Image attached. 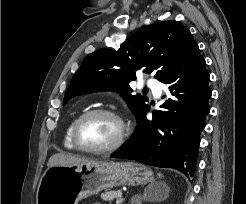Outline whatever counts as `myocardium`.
I'll return each mask as SVG.
<instances>
[{
  "instance_id": "f54148a6",
  "label": "myocardium",
  "mask_w": 246,
  "mask_h": 204,
  "mask_svg": "<svg viewBox=\"0 0 246 204\" xmlns=\"http://www.w3.org/2000/svg\"><path fill=\"white\" fill-rule=\"evenodd\" d=\"M94 115H106L113 118L118 124V134L115 140L108 146L103 148H86L81 145L79 141V129L81 124L89 117ZM127 125L124 122L123 118L114 110L108 108H93L82 113L75 121L72 128V142L75 148L81 152L89 153V154H107L111 153L118 148H120L127 136Z\"/></svg>"
}]
</instances>
